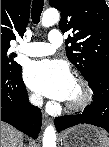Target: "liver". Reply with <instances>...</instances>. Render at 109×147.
<instances>
[{
	"label": "liver",
	"mask_w": 109,
	"mask_h": 147,
	"mask_svg": "<svg viewBox=\"0 0 109 147\" xmlns=\"http://www.w3.org/2000/svg\"><path fill=\"white\" fill-rule=\"evenodd\" d=\"M1 147H23V134L9 124L2 122Z\"/></svg>",
	"instance_id": "6515ba94"
}]
</instances>
